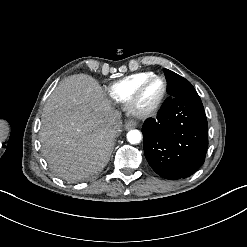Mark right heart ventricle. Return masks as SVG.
<instances>
[{
    "mask_svg": "<svg viewBox=\"0 0 247 247\" xmlns=\"http://www.w3.org/2000/svg\"><path fill=\"white\" fill-rule=\"evenodd\" d=\"M154 75L152 72H142L124 77L113 83L107 91V95L117 103H126L135 86L146 77Z\"/></svg>",
    "mask_w": 247,
    "mask_h": 247,
    "instance_id": "1",
    "label": "right heart ventricle"
}]
</instances>
